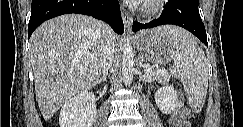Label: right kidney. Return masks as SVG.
Returning <instances> with one entry per match:
<instances>
[{
    "mask_svg": "<svg viewBox=\"0 0 243 127\" xmlns=\"http://www.w3.org/2000/svg\"><path fill=\"white\" fill-rule=\"evenodd\" d=\"M96 117V101L92 92H82L62 105L60 127H91Z\"/></svg>",
    "mask_w": 243,
    "mask_h": 127,
    "instance_id": "right-kidney-1",
    "label": "right kidney"
}]
</instances>
